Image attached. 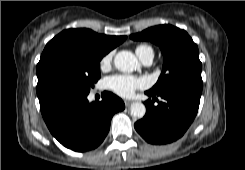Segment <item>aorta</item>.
<instances>
[{
  "label": "aorta",
  "instance_id": "1",
  "mask_svg": "<svg viewBox=\"0 0 245 170\" xmlns=\"http://www.w3.org/2000/svg\"><path fill=\"white\" fill-rule=\"evenodd\" d=\"M115 67L122 72H133L139 67V62L135 55L130 51H120L114 57ZM146 112L145 105L141 102H134L130 107V113L136 118L144 117Z\"/></svg>",
  "mask_w": 245,
  "mask_h": 170
}]
</instances>
